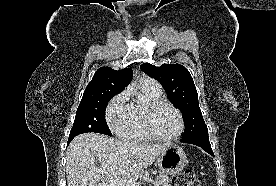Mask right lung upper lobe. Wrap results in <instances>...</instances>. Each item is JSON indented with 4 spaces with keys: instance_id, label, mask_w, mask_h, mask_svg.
<instances>
[{
    "instance_id": "1",
    "label": "right lung upper lobe",
    "mask_w": 276,
    "mask_h": 186,
    "mask_svg": "<svg viewBox=\"0 0 276 186\" xmlns=\"http://www.w3.org/2000/svg\"><path fill=\"white\" fill-rule=\"evenodd\" d=\"M131 79L132 70L129 68L117 71L113 70L111 67H101L95 72L85 92L113 91L120 93L127 87Z\"/></svg>"
}]
</instances>
